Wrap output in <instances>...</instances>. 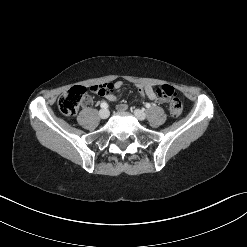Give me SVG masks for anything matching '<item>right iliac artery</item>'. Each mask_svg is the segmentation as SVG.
Here are the masks:
<instances>
[{"label":"right iliac artery","mask_w":247,"mask_h":247,"mask_svg":"<svg viewBox=\"0 0 247 247\" xmlns=\"http://www.w3.org/2000/svg\"><path fill=\"white\" fill-rule=\"evenodd\" d=\"M101 108L106 109L108 107V104L106 102L101 103Z\"/></svg>","instance_id":"82829eb1"}]
</instances>
